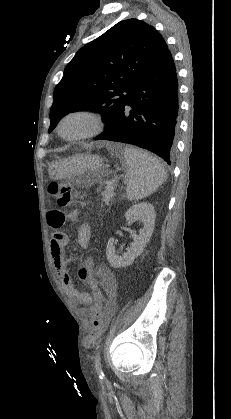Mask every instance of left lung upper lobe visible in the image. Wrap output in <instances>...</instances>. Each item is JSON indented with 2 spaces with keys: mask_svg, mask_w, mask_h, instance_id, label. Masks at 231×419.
I'll return each mask as SVG.
<instances>
[{
  "mask_svg": "<svg viewBox=\"0 0 231 419\" xmlns=\"http://www.w3.org/2000/svg\"><path fill=\"white\" fill-rule=\"evenodd\" d=\"M160 33L137 20L120 21L83 46L64 69L54 90L49 133L66 114L101 112L109 126L138 80L168 52Z\"/></svg>",
  "mask_w": 231,
  "mask_h": 419,
  "instance_id": "left-lung-upper-lobe-1",
  "label": "left lung upper lobe"
}]
</instances>
